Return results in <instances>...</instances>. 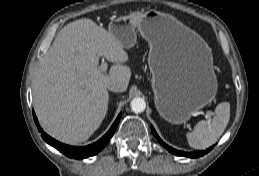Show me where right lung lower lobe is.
<instances>
[{
  "instance_id": "right-lung-lower-lobe-1",
  "label": "right lung lower lobe",
  "mask_w": 259,
  "mask_h": 176,
  "mask_svg": "<svg viewBox=\"0 0 259 176\" xmlns=\"http://www.w3.org/2000/svg\"><path fill=\"white\" fill-rule=\"evenodd\" d=\"M33 117H34V121L37 125L38 130L40 132H42L43 130L39 126L35 113H33ZM120 117H121V114L118 115L117 119L111 126L110 130L100 140H98L97 142H95L91 145L85 146V147H73V146L64 145V144L54 140L53 138L48 136L46 133H43L41 136L48 144H50L51 146H53L54 148H56L57 150H59L60 152L65 154L66 156H68L70 158H75V159H82V158H86L89 156H93L104 148V146L108 143L109 139L114 134V132L118 126Z\"/></svg>"
}]
</instances>
